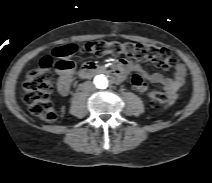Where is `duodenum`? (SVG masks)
<instances>
[{
	"instance_id": "1",
	"label": "duodenum",
	"mask_w": 212,
	"mask_h": 183,
	"mask_svg": "<svg viewBox=\"0 0 212 183\" xmlns=\"http://www.w3.org/2000/svg\"><path fill=\"white\" fill-rule=\"evenodd\" d=\"M100 73L106 74L114 82H120L123 78L122 71L117 67L114 69H107L95 63H88L83 65L79 70L78 76L81 79H86Z\"/></svg>"
}]
</instances>
